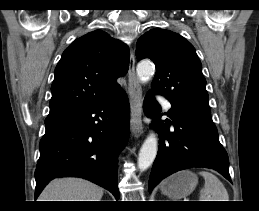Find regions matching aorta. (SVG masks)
<instances>
[{
    "instance_id": "1",
    "label": "aorta",
    "mask_w": 259,
    "mask_h": 211,
    "mask_svg": "<svg viewBox=\"0 0 259 211\" xmlns=\"http://www.w3.org/2000/svg\"><path fill=\"white\" fill-rule=\"evenodd\" d=\"M136 72L139 80L145 83L154 75L155 67L152 63L143 61L138 64ZM157 150V137L154 132H151L143 142L139 152L137 163L141 171L148 169L152 165L157 155Z\"/></svg>"
}]
</instances>
